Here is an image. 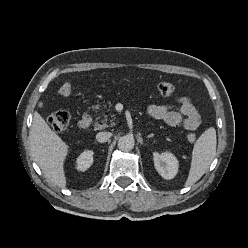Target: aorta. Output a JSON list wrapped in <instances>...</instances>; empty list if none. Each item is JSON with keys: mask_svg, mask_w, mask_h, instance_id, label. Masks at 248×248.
Returning <instances> with one entry per match:
<instances>
[{"mask_svg": "<svg viewBox=\"0 0 248 248\" xmlns=\"http://www.w3.org/2000/svg\"><path fill=\"white\" fill-rule=\"evenodd\" d=\"M134 144H135V141H134L133 136L125 135V136L120 137L118 141V148L121 151L128 152L134 148Z\"/></svg>", "mask_w": 248, "mask_h": 248, "instance_id": "obj_1", "label": "aorta"}]
</instances>
